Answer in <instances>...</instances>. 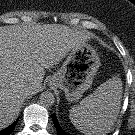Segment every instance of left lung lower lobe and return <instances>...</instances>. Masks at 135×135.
Listing matches in <instances>:
<instances>
[{
	"mask_svg": "<svg viewBox=\"0 0 135 135\" xmlns=\"http://www.w3.org/2000/svg\"><path fill=\"white\" fill-rule=\"evenodd\" d=\"M52 119H53V123L55 125V128L58 132V135H68L62 128L61 126L59 125L57 119H56V116L53 114L52 115Z\"/></svg>",
	"mask_w": 135,
	"mask_h": 135,
	"instance_id": "0a47b994",
	"label": "left lung lower lobe"
}]
</instances>
